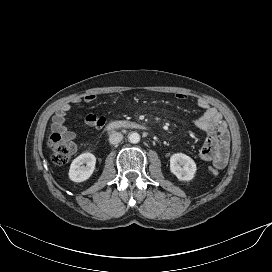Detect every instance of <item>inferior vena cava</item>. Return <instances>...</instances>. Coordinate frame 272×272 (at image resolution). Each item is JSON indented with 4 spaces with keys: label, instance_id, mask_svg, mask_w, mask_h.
Segmentation results:
<instances>
[{
    "label": "inferior vena cava",
    "instance_id": "602c4592",
    "mask_svg": "<svg viewBox=\"0 0 272 272\" xmlns=\"http://www.w3.org/2000/svg\"><path fill=\"white\" fill-rule=\"evenodd\" d=\"M123 139V135L119 132H112V134L109 137L110 144H118Z\"/></svg>",
    "mask_w": 272,
    "mask_h": 272
}]
</instances>
